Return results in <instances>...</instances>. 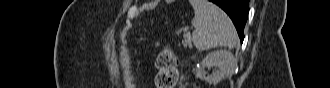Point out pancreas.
<instances>
[{
  "label": "pancreas",
  "mask_w": 330,
  "mask_h": 88,
  "mask_svg": "<svg viewBox=\"0 0 330 88\" xmlns=\"http://www.w3.org/2000/svg\"><path fill=\"white\" fill-rule=\"evenodd\" d=\"M183 37H184L183 46L185 48L187 47L191 48L192 47L191 36L189 34H184Z\"/></svg>",
  "instance_id": "1"
}]
</instances>
